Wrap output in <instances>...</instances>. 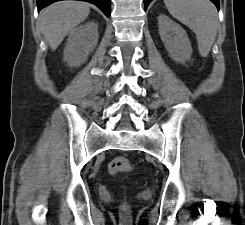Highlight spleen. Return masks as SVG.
<instances>
[{"instance_id": "spleen-1", "label": "spleen", "mask_w": 245, "mask_h": 225, "mask_svg": "<svg viewBox=\"0 0 245 225\" xmlns=\"http://www.w3.org/2000/svg\"><path fill=\"white\" fill-rule=\"evenodd\" d=\"M164 3L174 18L196 34L199 53L207 57L218 29L214 4L209 0H164Z\"/></svg>"}]
</instances>
